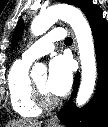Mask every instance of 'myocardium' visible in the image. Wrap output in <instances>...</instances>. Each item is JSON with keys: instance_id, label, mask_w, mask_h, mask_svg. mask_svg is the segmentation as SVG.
Instances as JSON below:
<instances>
[{"instance_id": "obj_1", "label": "myocardium", "mask_w": 108, "mask_h": 127, "mask_svg": "<svg viewBox=\"0 0 108 127\" xmlns=\"http://www.w3.org/2000/svg\"><path fill=\"white\" fill-rule=\"evenodd\" d=\"M34 98L37 106L41 109L52 108L56 100L48 95L35 81H32Z\"/></svg>"}]
</instances>
